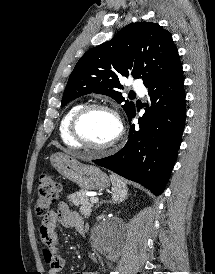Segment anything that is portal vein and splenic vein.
<instances>
[{
  "instance_id": "portal-vein-and-splenic-vein-1",
  "label": "portal vein and splenic vein",
  "mask_w": 215,
  "mask_h": 274,
  "mask_svg": "<svg viewBox=\"0 0 215 274\" xmlns=\"http://www.w3.org/2000/svg\"><path fill=\"white\" fill-rule=\"evenodd\" d=\"M98 200H99L98 197H91V198H90V202H91V203H97Z\"/></svg>"
}]
</instances>
